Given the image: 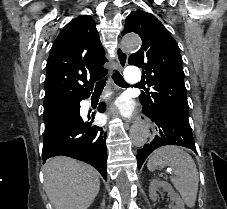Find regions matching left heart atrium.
I'll return each instance as SVG.
<instances>
[{"label": "left heart atrium", "instance_id": "1", "mask_svg": "<svg viewBox=\"0 0 227 209\" xmlns=\"http://www.w3.org/2000/svg\"><path fill=\"white\" fill-rule=\"evenodd\" d=\"M118 111L125 116H129L132 113V107L127 103H118L116 104Z\"/></svg>", "mask_w": 227, "mask_h": 209}]
</instances>
